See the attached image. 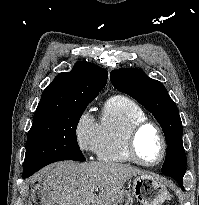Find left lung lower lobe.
I'll return each instance as SVG.
<instances>
[{
	"instance_id": "0a47b994",
	"label": "left lung lower lobe",
	"mask_w": 199,
	"mask_h": 205,
	"mask_svg": "<svg viewBox=\"0 0 199 205\" xmlns=\"http://www.w3.org/2000/svg\"><path fill=\"white\" fill-rule=\"evenodd\" d=\"M179 186L184 190L183 183L178 182Z\"/></svg>"
}]
</instances>
